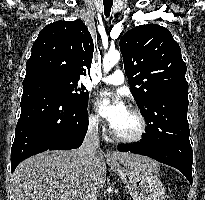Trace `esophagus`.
<instances>
[{"label": "esophagus", "instance_id": "obj_1", "mask_svg": "<svg viewBox=\"0 0 205 200\" xmlns=\"http://www.w3.org/2000/svg\"><path fill=\"white\" fill-rule=\"evenodd\" d=\"M106 157H107L109 160H111V159L114 158L113 154H112L109 150H107V152H106Z\"/></svg>", "mask_w": 205, "mask_h": 200}]
</instances>
